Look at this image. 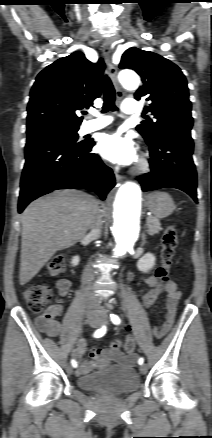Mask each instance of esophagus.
<instances>
[{
  "instance_id": "obj_1",
  "label": "esophagus",
  "mask_w": 212,
  "mask_h": 438,
  "mask_svg": "<svg viewBox=\"0 0 212 438\" xmlns=\"http://www.w3.org/2000/svg\"><path fill=\"white\" fill-rule=\"evenodd\" d=\"M103 55H104V58L107 62L109 75L112 79V82L115 85V88H116L117 98H118V100H121L123 97V93L120 90L118 83H117V68L112 63L110 44L108 42H105L103 45ZM115 178L118 182L122 181V179H123V177L120 174H118L117 172L115 173Z\"/></svg>"
}]
</instances>
